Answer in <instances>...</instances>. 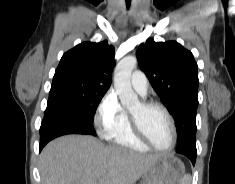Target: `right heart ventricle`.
<instances>
[{"instance_id":"e07e8e85","label":"right heart ventricle","mask_w":235,"mask_h":184,"mask_svg":"<svg viewBox=\"0 0 235 184\" xmlns=\"http://www.w3.org/2000/svg\"><path fill=\"white\" fill-rule=\"evenodd\" d=\"M110 148L114 153L121 150L135 152H147L149 150V147L134 135L128 119L113 138Z\"/></svg>"}]
</instances>
